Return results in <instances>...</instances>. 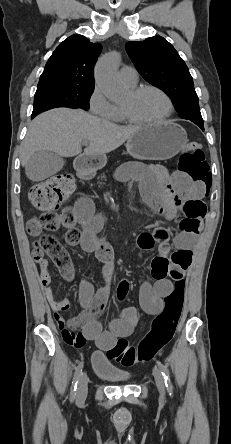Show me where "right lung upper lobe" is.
Wrapping results in <instances>:
<instances>
[{"label": "right lung upper lobe", "instance_id": "cb5924a9", "mask_svg": "<svg viewBox=\"0 0 231 444\" xmlns=\"http://www.w3.org/2000/svg\"><path fill=\"white\" fill-rule=\"evenodd\" d=\"M101 49L82 35L68 37L49 58L37 87H94L93 67Z\"/></svg>", "mask_w": 231, "mask_h": 444}]
</instances>
